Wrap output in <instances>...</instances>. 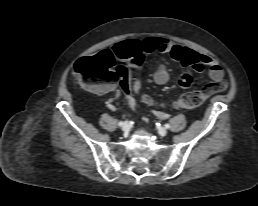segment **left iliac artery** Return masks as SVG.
Masks as SVG:
<instances>
[{"label": "left iliac artery", "instance_id": "obj_1", "mask_svg": "<svg viewBox=\"0 0 258 206\" xmlns=\"http://www.w3.org/2000/svg\"><path fill=\"white\" fill-rule=\"evenodd\" d=\"M165 128H170V125L169 124H165Z\"/></svg>", "mask_w": 258, "mask_h": 206}]
</instances>
